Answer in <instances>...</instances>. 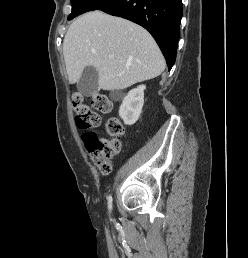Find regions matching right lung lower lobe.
<instances>
[{"instance_id":"98d812e1","label":"right lung lower lobe","mask_w":248,"mask_h":258,"mask_svg":"<svg viewBox=\"0 0 248 258\" xmlns=\"http://www.w3.org/2000/svg\"><path fill=\"white\" fill-rule=\"evenodd\" d=\"M98 10L133 21L148 30L160 47L168 69L172 68L180 34L182 0H113Z\"/></svg>"}]
</instances>
